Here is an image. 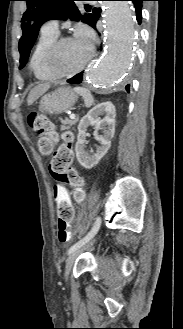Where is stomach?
Wrapping results in <instances>:
<instances>
[{
    "label": "stomach",
    "mask_w": 183,
    "mask_h": 329,
    "mask_svg": "<svg viewBox=\"0 0 183 329\" xmlns=\"http://www.w3.org/2000/svg\"><path fill=\"white\" fill-rule=\"evenodd\" d=\"M77 98L78 96L69 87H59L41 99L40 110L58 115L70 109Z\"/></svg>",
    "instance_id": "obj_1"
}]
</instances>
